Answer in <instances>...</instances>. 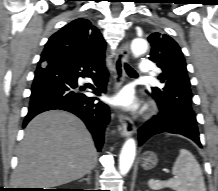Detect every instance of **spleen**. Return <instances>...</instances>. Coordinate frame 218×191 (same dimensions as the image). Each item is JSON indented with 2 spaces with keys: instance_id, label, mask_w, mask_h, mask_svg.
Masks as SVG:
<instances>
[{
  "instance_id": "1",
  "label": "spleen",
  "mask_w": 218,
  "mask_h": 191,
  "mask_svg": "<svg viewBox=\"0 0 218 191\" xmlns=\"http://www.w3.org/2000/svg\"><path fill=\"white\" fill-rule=\"evenodd\" d=\"M173 179L160 181L151 179L148 186L153 190L171 188L175 191H206L202 170L191 152L185 149L179 150L172 167Z\"/></svg>"
}]
</instances>
